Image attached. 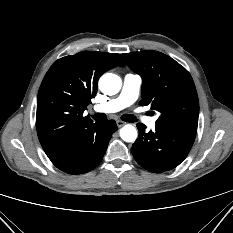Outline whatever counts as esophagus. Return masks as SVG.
<instances>
[{
	"label": "esophagus",
	"instance_id": "34e87169",
	"mask_svg": "<svg viewBox=\"0 0 233 233\" xmlns=\"http://www.w3.org/2000/svg\"><path fill=\"white\" fill-rule=\"evenodd\" d=\"M116 124L118 127H122L123 125H125V122L121 120H116Z\"/></svg>",
	"mask_w": 233,
	"mask_h": 233
}]
</instances>
